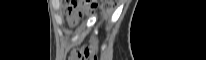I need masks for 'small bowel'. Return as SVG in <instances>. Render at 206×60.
I'll use <instances>...</instances> for the list:
<instances>
[{"instance_id":"c3829d8e","label":"small bowel","mask_w":206,"mask_h":60,"mask_svg":"<svg viewBox=\"0 0 206 60\" xmlns=\"http://www.w3.org/2000/svg\"><path fill=\"white\" fill-rule=\"evenodd\" d=\"M71 60H78L76 54H73V55L71 56Z\"/></svg>"}]
</instances>
